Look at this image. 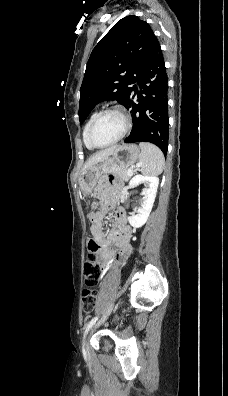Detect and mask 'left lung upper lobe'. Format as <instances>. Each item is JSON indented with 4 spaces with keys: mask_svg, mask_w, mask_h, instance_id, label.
<instances>
[{
    "mask_svg": "<svg viewBox=\"0 0 228 396\" xmlns=\"http://www.w3.org/2000/svg\"><path fill=\"white\" fill-rule=\"evenodd\" d=\"M156 37L145 21L119 20L93 49L80 88L79 118L84 122L101 101L126 105Z\"/></svg>",
    "mask_w": 228,
    "mask_h": 396,
    "instance_id": "1",
    "label": "left lung upper lobe"
}]
</instances>
